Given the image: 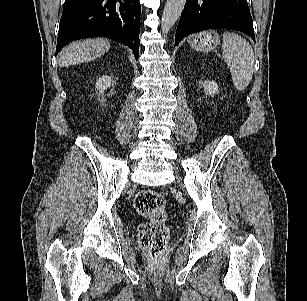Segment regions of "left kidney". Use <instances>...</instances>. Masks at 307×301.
<instances>
[{"label": "left kidney", "instance_id": "5707ae66", "mask_svg": "<svg viewBox=\"0 0 307 301\" xmlns=\"http://www.w3.org/2000/svg\"><path fill=\"white\" fill-rule=\"evenodd\" d=\"M202 86L206 94L214 95L218 92V84L214 81H204Z\"/></svg>", "mask_w": 307, "mask_h": 301}]
</instances>
